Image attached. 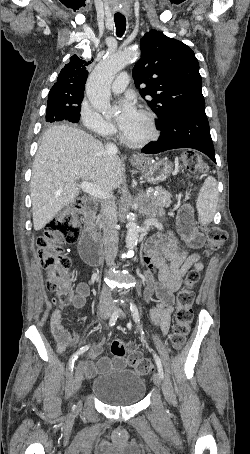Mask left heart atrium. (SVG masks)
Returning <instances> with one entry per match:
<instances>
[{"instance_id":"1","label":"left heart atrium","mask_w":250,"mask_h":454,"mask_svg":"<svg viewBox=\"0 0 250 454\" xmlns=\"http://www.w3.org/2000/svg\"><path fill=\"white\" fill-rule=\"evenodd\" d=\"M138 110L135 106V103L127 98L121 103V111L118 118V126L121 130H124L131 121L137 116Z\"/></svg>"}]
</instances>
